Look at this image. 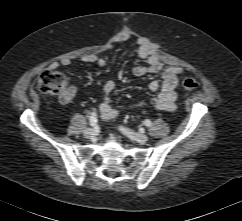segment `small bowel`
Here are the masks:
<instances>
[{
  "mask_svg": "<svg viewBox=\"0 0 242 221\" xmlns=\"http://www.w3.org/2000/svg\"><path fill=\"white\" fill-rule=\"evenodd\" d=\"M132 39V36L123 34L118 37L117 42H125ZM138 48V56L146 60L147 65H136L132 69V73L135 76H144L148 73H161V80H152L149 83V90L152 92L158 91V94L152 99L151 103L157 110L173 112L176 109L178 76L182 72V69L175 66H165L161 61L155 50L149 45L148 41L144 38L136 39ZM81 61L86 64H97L99 66H105L106 61L104 58L97 56L96 54H85L81 57ZM71 64L69 58H63L60 61L52 62L49 66L50 69L56 70L58 67H67ZM116 89V82L114 80H108L103 87L104 100L99 106L101 118L104 120H111L119 115V111L115 109L111 102V94ZM71 99V94L66 101Z\"/></svg>",
  "mask_w": 242,
  "mask_h": 221,
  "instance_id": "obj_1",
  "label": "small bowel"
}]
</instances>
